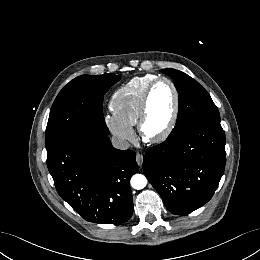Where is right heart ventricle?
Instances as JSON below:
<instances>
[{"instance_id": "right-heart-ventricle-1", "label": "right heart ventricle", "mask_w": 260, "mask_h": 260, "mask_svg": "<svg viewBox=\"0 0 260 260\" xmlns=\"http://www.w3.org/2000/svg\"><path fill=\"white\" fill-rule=\"evenodd\" d=\"M156 78L151 74L139 76L119 87L110 98L113 114L130 126L136 125L144 93Z\"/></svg>"}]
</instances>
